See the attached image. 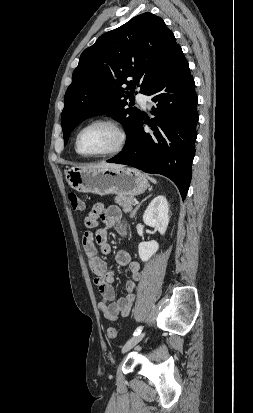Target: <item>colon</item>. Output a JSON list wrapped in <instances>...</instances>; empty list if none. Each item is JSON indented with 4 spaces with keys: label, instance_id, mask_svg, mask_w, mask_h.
Returning a JSON list of instances; mask_svg holds the SVG:
<instances>
[{
    "label": "colon",
    "instance_id": "obj_1",
    "mask_svg": "<svg viewBox=\"0 0 253 413\" xmlns=\"http://www.w3.org/2000/svg\"><path fill=\"white\" fill-rule=\"evenodd\" d=\"M68 201L70 203L71 208L74 211H82L84 209V203L76 193L70 192L68 194ZM107 336L110 339L115 338L116 337V329L113 328V327L108 328Z\"/></svg>",
    "mask_w": 253,
    "mask_h": 413
}]
</instances>
